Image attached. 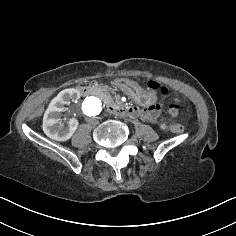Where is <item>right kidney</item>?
Masks as SVG:
<instances>
[{"mask_svg":"<svg viewBox=\"0 0 236 236\" xmlns=\"http://www.w3.org/2000/svg\"><path fill=\"white\" fill-rule=\"evenodd\" d=\"M80 98V92L75 89H67L57 95L51 104L45 109L43 131L45 135L58 142H65L71 139L79 126L77 119L65 117V110L71 104H75Z\"/></svg>","mask_w":236,"mask_h":236,"instance_id":"right-kidney-1","label":"right kidney"}]
</instances>
